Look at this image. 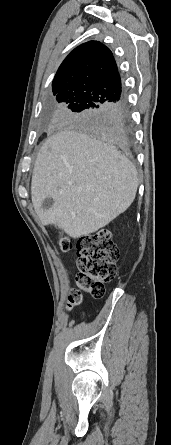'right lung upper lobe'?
<instances>
[{"instance_id": "cb5924a9", "label": "right lung upper lobe", "mask_w": 171, "mask_h": 445, "mask_svg": "<svg viewBox=\"0 0 171 445\" xmlns=\"http://www.w3.org/2000/svg\"><path fill=\"white\" fill-rule=\"evenodd\" d=\"M54 95L89 92L106 102L124 98L116 62L109 48L89 41L75 48L60 65L52 82Z\"/></svg>"}]
</instances>
